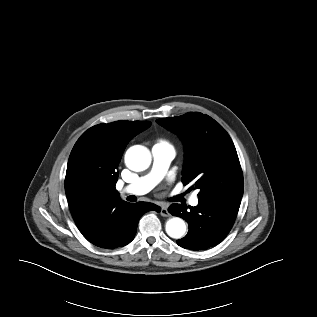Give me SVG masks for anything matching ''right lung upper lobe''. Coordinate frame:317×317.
<instances>
[{
	"mask_svg": "<svg viewBox=\"0 0 317 317\" xmlns=\"http://www.w3.org/2000/svg\"><path fill=\"white\" fill-rule=\"evenodd\" d=\"M151 125L147 121H116L85 131L75 143L67 165V197L92 189L104 201L118 200L115 189L118 165L128 142Z\"/></svg>",
	"mask_w": 317,
	"mask_h": 317,
	"instance_id": "right-lung-upper-lobe-1",
	"label": "right lung upper lobe"
}]
</instances>
